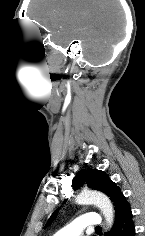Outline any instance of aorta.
<instances>
[{
  "label": "aorta",
  "mask_w": 145,
  "mask_h": 236,
  "mask_svg": "<svg viewBox=\"0 0 145 236\" xmlns=\"http://www.w3.org/2000/svg\"><path fill=\"white\" fill-rule=\"evenodd\" d=\"M75 202L80 205L94 204L100 208L108 227H112L114 222V208L109 198L101 192L93 190H83L75 198Z\"/></svg>",
  "instance_id": "obj_1"
}]
</instances>
